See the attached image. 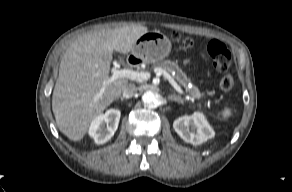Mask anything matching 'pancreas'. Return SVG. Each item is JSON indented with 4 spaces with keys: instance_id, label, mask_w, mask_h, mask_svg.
I'll return each instance as SVG.
<instances>
[{
    "instance_id": "pancreas-1",
    "label": "pancreas",
    "mask_w": 292,
    "mask_h": 192,
    "mask_svg": "<svg viewBox=\"0 0 292 192\" xmlns=\"http://www.w3.org/2000/svg\"><path fill=\"white\" fill-rule=\"evenodd\" d=\"M154 68H163L164 70L168 71L169 73H174L173 78L182 85L186 92H188L192 97L197 98L200 97V92L197 87H190V79L187 77V75L179 68L177 63L172 62L170 60H165L162 62H157L154 64Z\"/></svg>"
}]
</instances>
